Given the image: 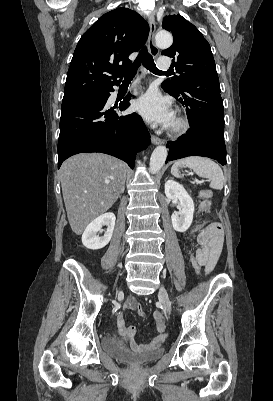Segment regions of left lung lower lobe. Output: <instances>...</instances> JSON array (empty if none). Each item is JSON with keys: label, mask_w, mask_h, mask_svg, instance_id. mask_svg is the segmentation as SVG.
<instances>
[{"label": "left lung lower lobe", "mask_w": 273, "mask_h": 401, "mask_svg": "<svg viewBox=\"0 0 273 401\" xmlns=\"http://www.w3.org/2000/svg\"><path fill=\"white\" fill-rule=\"evenodd\" d=\"M169 94L186 106L190 130L177 141L167 143L169 155L166 162L197 155L226 165L224 108L220 93L192 88L183 93Z\"/></svg>", "instance_id": "obj_1"}]
</instances>
